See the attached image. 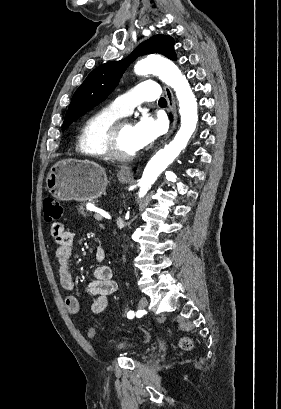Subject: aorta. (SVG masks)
<instances>
[{
    "instance_id": "1",
    "label": "aorta",
    "mask_w": 281,
    "mask_h": 409,
    "mask_svg": "<svg viewBox=\"0 0 281 409\" xmlns=\"http://www.w3.org/2000/svg\"><path fill=\"white\" fill-rule=\"evenodd\" d=\"M134 71L138 75H157L163 82L173 88L179 102L181 115V126L174 139L159 150L144 169L139 181V197H144L159 175L186 147L195 131L198 114L196 98L191 87L173 62L158 56H148L137 62Z\"/></svg>"
}]
</instances>
